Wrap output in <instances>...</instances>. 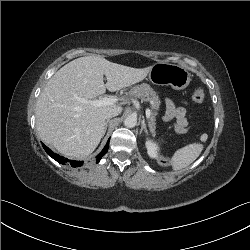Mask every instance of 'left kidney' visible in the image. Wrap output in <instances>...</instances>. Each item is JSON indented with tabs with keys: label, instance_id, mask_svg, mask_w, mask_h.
<instances>
[{
	"label": "left kidney",
	"instance_id": "obj_1",
	"mask_svg": "<svg viewBox=\"0 0 250 250\" xmlns=\"http://www.w3.org/2000/svg\"><path fill=\"white\" fill-rule=\"evenodd\" d=\"M147 153L151 158H158L159 156V146L153 142L151 139L146 140Z\"/></svg>",
	"mask_w": 250,
	"mask_h": 250
}]
</instances>
